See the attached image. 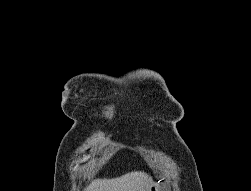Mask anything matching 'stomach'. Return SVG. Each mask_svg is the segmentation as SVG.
<instances>
[{
    "instance_id": "1",
    "label": "stomach",
    "mask_w": 251,
    "mask_h": 191,
    "mask_svg": "<svg viewBox=\"0 0 251 191\" xmlns=\"http://www.w3.org/2000/svg\"><path fill=\"white\" fill-rule=\"evenodd\" d=\"M159 183H153L150 187V191H158Z\"/></svg>"
}]
</instances>
